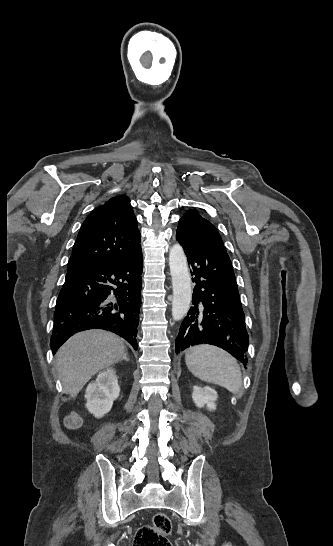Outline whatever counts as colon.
<instances>
[{"mask_svg": "<svg viewBox=\"0 0 333 546\" xmlns=\"http://www.w3.org/2000/svg\"><path fill=\"white\" fill-rule=\"evenodd\" d=\"M171 532V520L165 513H157L152 524L140 527L134 538V546H171L168 535Z\"/></svg>", "mask_w": 333, "mask_h": 546, "instance_id": "colon-1", "label": "colon"}]
</instances>
